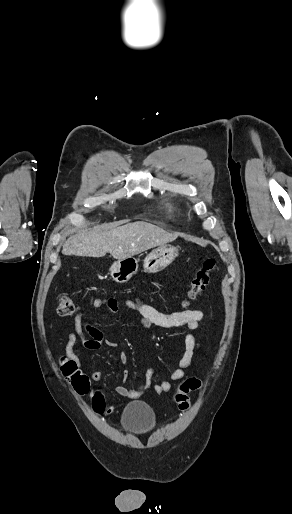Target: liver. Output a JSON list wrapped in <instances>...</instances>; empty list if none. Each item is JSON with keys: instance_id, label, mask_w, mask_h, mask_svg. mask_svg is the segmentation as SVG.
I'll use <instances>...</instances> for the list:
<instances>
[{"instance_id": "1", "label": "liver", "mask_w": 292, "mask_h": 514, "mask_svg": "<svg viewBox=\"0 0 292 514\" xmlns=\"http://www.w3.org/2000/svg\"><path fill=\"white\" fill-rule=\"evenodd\" d=\"M177 236L178 234H169L163 228L147 222L125 224L115 230H108L106 224H101L94 226L91 232H82L68 238L63 244L62 254L91 258H102L105 254H111L115 260H124L150 248L173 242Z\"/></svg>"}]
</instances>
